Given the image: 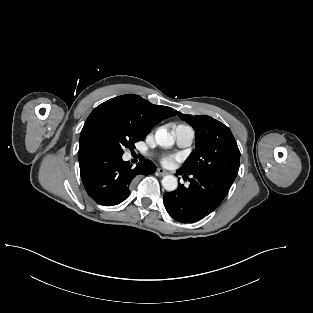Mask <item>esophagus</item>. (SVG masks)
<instances>
[{"instance_id": "obj_1", "label": "esophagus", "mask_w": 313, "mask_h": 313, "mask_svg": "<svg viewBox=\"0 0 313 313\" xmlns=\"http://www.w3.org/2000/svg\"><path fill=\"white\" fill-rule=\"evenodd\" d=\"M157 173L160 175V176H164V175H167L168 172L162 168H158L157 169Z\"/></svg>"}]
</instances>
